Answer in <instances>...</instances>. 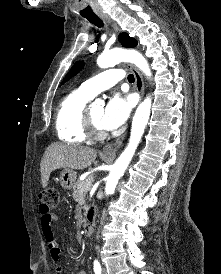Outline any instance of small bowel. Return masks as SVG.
<instances>
[{
  "mask_svg": "<svg viewBox=\"0 0 221 274\" xmlns=\"http://www.w3.org/2000/svg\"><path fill=\"white\" fill-rule=\"evenodd\" d=\"M40 225L43 238L45 240L46 247L50 253V256L54 262H59L61 259V250L54 238L53 224L56 221V215L51 211L50 207L44 203L39 205ZM55 274H63V268L57 266L55 268ZM78 274H86L84 270H79Z\"/></svg>",
  "mask_w": 221,
  "mask_h": 274,
  "instance_id": "1",
  "label": "small bowel"
}]
</instances>
